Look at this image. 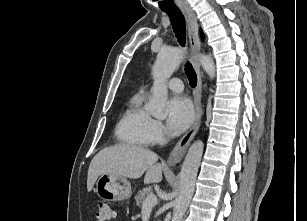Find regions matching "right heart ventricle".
Here are the masks:
<instances>
[{"instance_id": "obj_1", "label": "right heart ventricle", "mask_w": 307, "mask_h": 221, "mask_svg": "<svg viewBox=\"0 0 307 221\" xmlns=\"http://www.w3.org/2000/svg\"><path fill=\"white\" fill-rule=\"evenodd\" d=\"M142 96L136 95L119 119L115 136L119 143L134 146L147 147L153 143L151 127L153 119L144 110Z\"/></svg>"}]
</instances>
